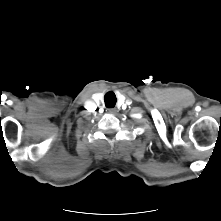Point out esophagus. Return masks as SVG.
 <instances>
[{"instance_id":"obj_1","label":"esophagus","mask_w":221,"mask_h":221,"mask_svg":"<svg viewBox=\"0 0 221 221\" xmlns=\"http://www.w3.org/2000/svg\"><path fill=\"white\" fill-rule=\"evenodd\" d=\"M107 111L109 114H112V115L116 114L117 112L116 108H109Z\"/></svg>"}]
</instances>
